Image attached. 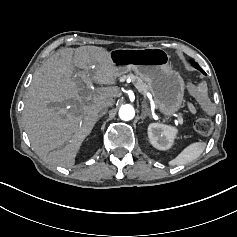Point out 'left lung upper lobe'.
I'll list each match as a JSON object with an SVG mask.
<instances>
[{"mask_svg": "<svg viewBox=\"0 0 237 237\" xmlns=\"http://www.w3.org/2000/svg\"><path fill=\"white\" fill-rule=\"evenodd\" d=\"M191 63H192V65H193L196 69L200 70L203 74H206V73L204 72V70L198 65V63H196V62L193 61V60H191Z\"/></svg>", "mask_w": 237, "mask_h": 237, "instance_id": "left-lung-upper-lobe-1", "label": "left lung upper lobe"}]
</instances>
